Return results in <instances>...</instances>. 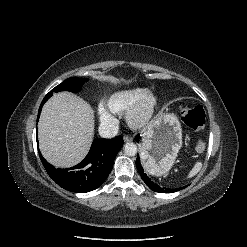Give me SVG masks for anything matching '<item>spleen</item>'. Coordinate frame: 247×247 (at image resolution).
I'll use <instances>...</instances> for the list:
<instances>
[{
    "instance_id": "3e777b00",
    "label": "spleen",
    "mask_w": 247,
    "mask_h": 247,
    "mask_svg": "<svg viewBox=\"0 0 247 247\" xmlns=\"http://www.w3.org/2000/svg\"><path fill=\"white\" fill-rule=\"evenodd\" d=\"M201 167H202V163L196 162L192 170L189 172L188 177H193L194 175H196L200 171Z\"/></svg>"
}]
</instances>
